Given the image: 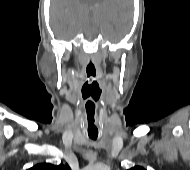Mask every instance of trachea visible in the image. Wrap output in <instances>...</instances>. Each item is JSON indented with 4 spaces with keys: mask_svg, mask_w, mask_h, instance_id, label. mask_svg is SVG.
<instances>
[{
    "mask_svg": "<svg viewBox=\"0 0 190 170\" xmlns=\"http://www.w3.org/2000/svg\"><path fill=\"white\" fill-rule=\"evenodd\" d=\"M91 139H93V140H96L97 139V136H89Z\"/></svg>",
    "mask_w": 190,
    "mask_h": 170,
    "instance_id": "obj_1",
    "label": "trachea"
}]
</instances>
